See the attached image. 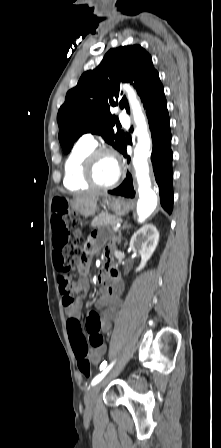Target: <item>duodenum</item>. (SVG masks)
<instances>
[{
  "mask_svg": "<svg viewBox=\"0 0 221 448\" xmlns=\"http://www.w3.org/2000/svg\"><path fill=\"white\" fill-rule=\"evenodd\" d=\"M106 256H107L108 262H111V252L107 253ZM102 271H103V269H102ZM102 271H101L100 277H101V280L105 283L106 280L104 278V275L102 274Z\"/></svg>",
  "mask_w": 221,
  "mask_h": 448,
  "instance_id": "1",
  "label": "duodenum"
}]
</instances>
